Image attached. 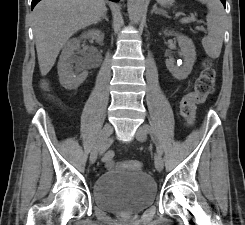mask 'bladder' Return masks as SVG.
<instances>
[{"instance_id":"obj_1","label":"bladder","mask_w":245,"mask_h":225,"mask_svg":"<svg viewBox=\"0 0 245 225\" xmlns=\"http://www.w3.org/2000/svg\"><path fill=\"white\" fill-rule=\"evenodd\" d=\"M157 186L154 179L139 170L105 171L94 181L92 199L103 211L132 215L154 204Z\"/></svg>"}]
</instances>
